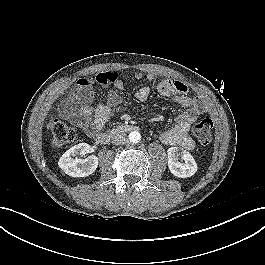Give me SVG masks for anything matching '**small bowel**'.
<instances>
[{"mask_svg":"<svg viewBox=\"0 0 265 265\" xmlns=\"http://www.w3.org/2000/svg\"><path fill=\"white\" fill-rule=\"evenodd\" d=\"M112 77H103L98 82L101 84H113L117 90H123L124 81L112 73ZM136 80L145 78L148 82H153L155 76L152 73L144 75L142 72L134 74ZM159 94L171 97L177 104L185 110L177 117L176 122L169 128L160 132V139L168 145H179L191 151L194 149V141L189 136L188 131L191 124L204 113V106L201 101L187 94V87L180 81L162 80L157 85ZM150 96V88L143 86L136 92L139 101H146ZM93 100V79L82 77L77 80L69 95L61 102L60 111L75 125L84 129L93 136L103 129L109 118L110 110L119 103V96L115 91H110L105 103L94 106Z\"/></svg>","mask_w":265,"mask_h":265,"instance_id":"1","label":"small bowel"}]
</instances>
